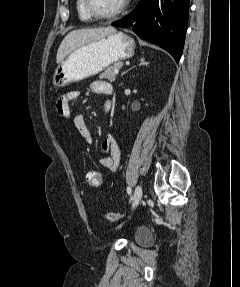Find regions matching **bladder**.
<instances>
[{
    "label": "bladder",
    "instance_id": "obj_1",
    "mask_svg": "<svg viewBox=\"0 0 240 287\" xmlns=\"http://www.w3.org/2000/svg\"><path fill=\"white\" fill-rule=\"evenodd\" d=\"M135 241L139 244H147L151 241V233L148 229L138 227L135 230Z\"/></svg>",
    "mask_w": 240,
    "mask_h": 287
}]
</instances>
